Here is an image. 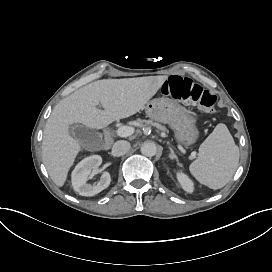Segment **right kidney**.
Wrapping results in <instances>:
<instances>
[{
    "instance_id": "ca27d5eb",
    "label": "right kidney",
    "mask_w": 272,
    "mask_h": 272,
    "mask_svg": "<svg viewBox=\"0 0 272 272\" xmlns=\"http://www.w3.org/2000/svg\"><path fill=\"white\" fill-rule=\"evenodd\" d=\"M102 164L99 155L90 156L82 160L72 172V185L82 196H94L106 189L111 182V176L107 170H98ZM100 173L101 177L96 184H88L87 178L92 173Z\"/></svg>"
}]
</instances>
